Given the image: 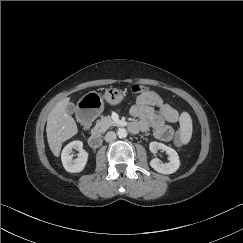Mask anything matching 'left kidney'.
I'll use <instances>...</instances> for the list:
<instances>
[{"instance_id": "1", "label": "left kidney", "mask_w": 243, "mask_h": 243, "mask_svg": "<svg viewBox=\"0 0 243 243\" xmlns=\"http://www.w3.org/2000/svg\"><path fill=\"white\" fill-rule=\"evenodd\" d=\"M149 149L152 153H156L158 150H163L168 155V163H161L158 158H153L150 161V166L157 172L162 174H172L176 172L180 167V160L177 152L172 149L171 147H168L164 145L163 143L159 142H151L149 144Z\"/></svg>"}]
</instances>
